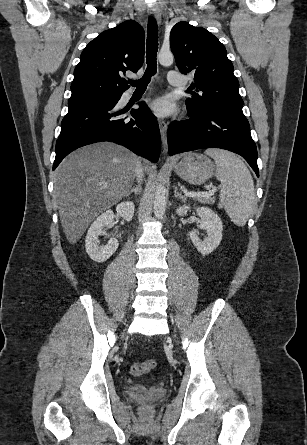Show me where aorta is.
I'll use <instances>...</instances> for the list:
<instances>
[{
  "mask_svg": "<svg viewBox=\"0 0 307 445\" xmlns=\"http://www.w3.org/2000/svg\"><path fill=\"white\" fill-rule=\"evenodd\" d=\"M160 64L163 66H171L173 64L174 56L171 50H160L157 56ZM166 210V196H165V186L163 184H157L156 192L154 196V214L158 218H163Z\"/></svg>",
  "mask_w": 307,
  "mask_h": 445,
  "instance_id": "1",
  "label": "aorta"
}]
</instances>
